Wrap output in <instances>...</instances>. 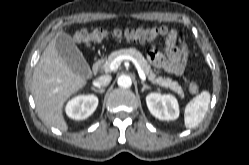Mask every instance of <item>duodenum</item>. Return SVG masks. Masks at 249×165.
Listing matches in <instances>:
<instances>
[{
    "mask_svg": "<svg viewBox=\"0 0 249 165\" xmlns=\"http://www.w3.org/2000/svg\"><path fill=\"white\" fill-rule=\"evenodd\" d=\"M102 60L101 59H97V60H95L94 62H93V64H92V67H91V69H92V72L93 73H97L99 70H100V68H101V66H102Z\"/></svg>",
    "mask_w": 249,
    "mask_h": 165,
    "instance_id": "1",
    "label": "duodenum"
}]
</instances>
